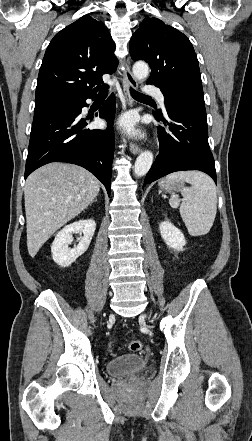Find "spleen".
<instances>
[{"label": "spleen", "mask_w": 252, "mask_h": 441, "mask_svg": "<svg viewBox=\"0 0 252 441\" xmlns=\"http://www.w3.org/2000/svg\"><path fill=\"white\" fill-rule=\"evenodd\" d=\"M176 182H189L191 187L180 189L184 201L180 204L178 195H172L169 204L178 208L191 236L207 234L217 212V194L214 181L200 171H179L165 178L166 189Z\"/></svg>", "instance_id": "3e777b00"}]
</instances>
